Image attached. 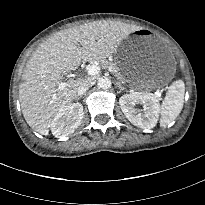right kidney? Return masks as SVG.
I'll use <instances>...</instances> for the list:
<instances>
[{
	"label": "right kidney",
	"instance_id": "obj_1",
	"mask_svg": "<svg viewBox=\"0 0 205 205\" xmlns=\"http://www.w3.org/2000/svg\"><path fill=\"white\" fill-rule=\"evenodd\" d=\"M83 106L73 103L61 108L51 122V132L57 138H64L72 134L83 119Z\"/></svg>",
	"mask_w": 205,
	"mask_h": 205
}]
</instances>
